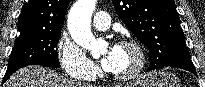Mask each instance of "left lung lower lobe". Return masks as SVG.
Masks as SVG:
<instances>
[{
  "label": "left lung lower lobe",
  "instance_id": "1",
  "mask_svg": "<svg viewBox=\"0 0 205 87\" xmlns=\"http://www.w3.org/2000/svg\"><path fill=\"white\" fill-rule=\"evenodd\" d=\"M167 66L181 68L197 75L195 67L190 59V56L180 57L178 59H175L172 62H170Z\"/></svg>",
  "mask_w": 205,
  "mask_h": 87
}]
</instances>
